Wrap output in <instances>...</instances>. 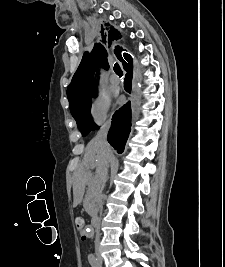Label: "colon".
Instances as JSON below:
<instances>
[{
  "instance_id": "obj_1",
  "label": "colon",
  "mask_w": 225,
  "mask_h": 267,
  "mask_svg": "<svg viewBox=\"0 0 225 267\" xmlns=\"http://www.w3.org/2000/svg\"><path fill=\"white\" fill-rule=\"evenodd\" d=\"M75 225H76V228L77 230L79 231L80 235L81 234H84V225H85V221L82 217H77L75 219Z\"/></svg>"
}]
</instances>
